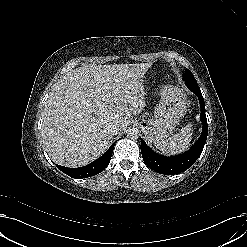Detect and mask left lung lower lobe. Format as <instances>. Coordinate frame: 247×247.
<instances>
[{
	"label": "left lung lower lobe",
	"instance_id": "1",
	"mask_svg": "<svg viewBox=\"0 0 247 247\" xmlns=\"http://www.w3.org/2000/svg\"><path fill=\"white\" fill-rule=\"evenodd\" d=\"M187 87L192 92H194L199 99L200 107H201L200 119L203 124L201 136L193 145V147L183 154L167 157L155 153L146 145L144 140H141V153L144 163L150 169L160 174L174 175L186 171L200 157L204 145L206 143L207 134H208V124L205 114V105H204L203 96L201 94L198 85H187Z\"/></svg>",
	"mask_w": 247,
	"mask_h": 247
}]
</instances>
